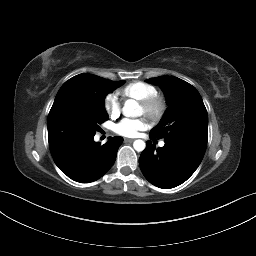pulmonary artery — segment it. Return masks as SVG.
Segmentation results:
<instances>
[{"mask_svg":"<svg viewBox=\"0 0 256 256\" xmlns=\"http://www.w3.org/2000/svg\"><path fill=\"white\" fill-rule=\"evenodd\" d=\"M164 144H165V143H164L163 141H162V142H160V146H161V147H163V146H164Z\"/></svg>","mask_w":256,"mask_h":256,"instance_id":"e3ab8cb5","label":"pulmonary artery"}]
</instances>
